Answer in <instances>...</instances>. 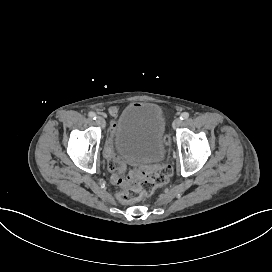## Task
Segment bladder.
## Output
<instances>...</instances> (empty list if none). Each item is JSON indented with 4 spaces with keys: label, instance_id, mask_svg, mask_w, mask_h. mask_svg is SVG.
<instances>
[{
    "label": "bladder",
    "instance_id": "31cf9c89",
    "mask_svg": "<svg viewBox=\"0 0 272 272\" xmlns=\"http://www.w3.org/2000/svg\"><path fill=\"white\" fill-rule=\"evenodd\" d=\"M166 117L157 104H129L119 114L114 148L134 163L161 164L165 158Z\"/></svg>",
    "mask_w": 272,
    "mask_h": 272
}]
</instances>
